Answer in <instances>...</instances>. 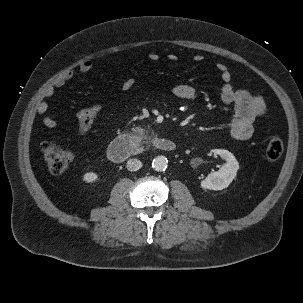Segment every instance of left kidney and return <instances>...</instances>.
I'll return each instance as SVG.
<instances>
[{"label":"left kidney","instance_id":"1","mask_svg":"<svg viewBox=\"0 0 303 303\" xmlns=\"http://www.w3.org/2000/svg\"><path fill=\"white\" fill-rule=\"evenodd\" d=\"M212 152L221 156V158L226 161V164L217 172L209 174L203 181H201L200 185L204 190H222L227 188L236 177L239 163L235 156L228 150L214 149Z\"/></svg>","mask_w":303,"mask_h":303}]
</instances>
